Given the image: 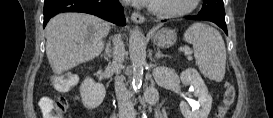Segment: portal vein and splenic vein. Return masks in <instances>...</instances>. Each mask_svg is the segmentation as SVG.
<instances>
[{
	"label": "portal vein and splenic vein",
	"instance_id": "18ae733b",
	"mask_svg": "<svg viewBox=\"0 0 273 118\" xmlns=\"http://www.w3.org/2000/svg\"><path fill=\"white\" fill-rule=\"evenodd\" d=\"M181 51H184L186 54H189L191 53L190 49L189 48H182Z\"/></svg>",
	"mask_w": 273,
	"mask_h": 118
}]
</instances>
